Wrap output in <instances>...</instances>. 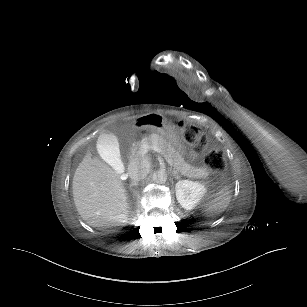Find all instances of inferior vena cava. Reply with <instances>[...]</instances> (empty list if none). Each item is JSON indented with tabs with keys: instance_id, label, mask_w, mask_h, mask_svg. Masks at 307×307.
<instances>
[{
	"instance_id": "inferior-vena-cava-1",
	"label": "inferior vena cava",
	"mask_w": 307,
	"mask_h": 307,
	"mask_svg": "<svg viewBox=\"0 0 307 307\" xmlns=\"http://www.w3.org/2000/svg\"><path fill=\"white\" fill-rule=\"evenodd\" d=\"M129 177L134 181H140L148 174V169L138 159H133L128 165Z\"/></svg>"
}]
</instances>
